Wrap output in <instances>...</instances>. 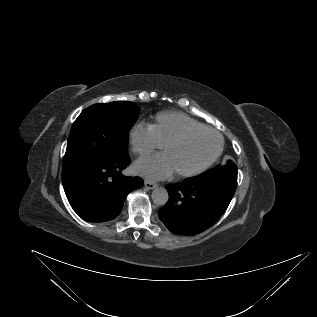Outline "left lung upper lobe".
Here are the masks:
<instances>
[{"mask_svg":"<svg viewBox=\"0 0 317 317\" xmlns=\"http://www.w3.org/2000/svg\"><path fill=\"white\" fill-rule=\"evenodd\" d=\"M237 172L238 169L235 163L231 160H228L224 166H217L214 169L208 170L202 175L204 177H219L237 181Z\"/></svg>","mask_w":317,"mask_h":317,"instance_id":"obj_1","label":"left lung upper lobe"}]
</instances>
